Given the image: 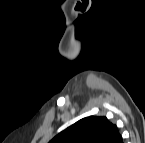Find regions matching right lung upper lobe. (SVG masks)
Returning a JSON list of instances; mask_svg holds the SVG:
<instances>
[{"mask_svg": "<svg viewBox=\"0 0 145 143\" xmlns=\"http://www.w3.org/2000/svg\"><path fill=\"white\" fill-rule=\"evenodd\" d=\"M49 143H122V137L106 117L90 116L77 121Z\"/></svg>", "mask_w": 145, "mask_h": 143, "instance_id": "cb5924a9", "label": "right lung upper lobe"}]
</instances>
